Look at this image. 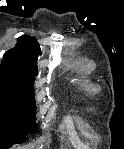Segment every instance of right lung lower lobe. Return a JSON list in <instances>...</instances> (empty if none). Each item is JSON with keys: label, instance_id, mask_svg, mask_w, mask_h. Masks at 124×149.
<instances>
[{"label": "right lung lower lobe", "instance_id": "1", "mask_svg": "<svg viewBox=\"0 0 124 149\" xmlns=\"http://www.w3.org/2000/svg\"><path fill=\"white\" fill-rule=\"evenodd\" d=\"M13 144H0V149H8L9 147H11Z\"/></svg>", "mask_w": 124, "mask_h": 149}]
</instances>
